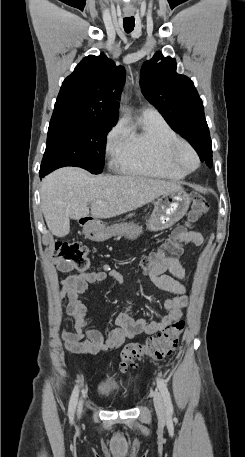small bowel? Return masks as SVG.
<instances>
[{"label":"small bowel","instance_id":"obj_1","mask_svg":"<svg viewBox=\"0 0 245 457\" xmlns=\"http://www.w3.org/2000/svg\"><path fill=\"white\" fill-rule=\"evenodd\" d=\"M180 242L200 246L202 235L197 231L181 229ZM54 264L61 272H70L75 266L67 261L55 259ZM111 277L118 283L123 276L116 270L105 268L96 271H83L73 274L60 281V293L67 298V314L74 320V330L62 329L61 337L67 350L76 354L96 355L102 351L114 350L128 339L141 334L152 335L162 331L173 322L179 320L188 305V296L184 281L187 274L182 264L176 259H166L156 265L149 273L151 281L164 291L175 296L163 303L165 315L159 321H147L144 318L134 319L130 315L133 300L125 301L122 310L115 317L113 328L106 338L101 332L87 328V309L81 300L88 284L102 282Z\"/></svg>","mask_w":245,"mask_h":457}]
</instances>
